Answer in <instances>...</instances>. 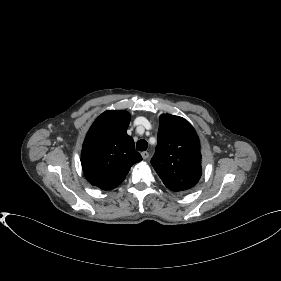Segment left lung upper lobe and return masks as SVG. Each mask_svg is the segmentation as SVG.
Listing matches in <instances>:
<instances>
[{"label":"left lung upper lobe","instance_id":"obj_1","mask_svg":"<svg viewBox=\"0 0 281 281\" xmlns=\"http://www.w3.org/2000/svg\"><path fill=\"white\" fill-rule=\"evenodd\" d=\"M151 164L171 191L186 192L198 183L202 175L200 142L187 120L170 114L160 116Z\"/></svg>","mask_w":281,"mask_h":281}]
</instances>
